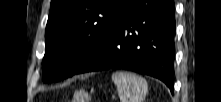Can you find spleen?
<instances>
[{
    "mask_svg": "<svg viewBox=\"0 0 221 102\" xmlns=\"http://www.w3.org/2000/svg\"><path fill=\"white\" fill-rule=\"evenodd\" d=\"M112 80L121 102H143L148 92V84L143 77L130 72L116 71L112 74Z\"/></svg>",
    "mask_w": 221,
    "mask_h": 102,
    "instance_id": "spleen-1",
    "label": "spleen"
}]
</instances>
